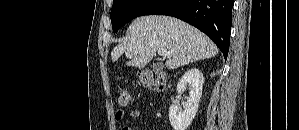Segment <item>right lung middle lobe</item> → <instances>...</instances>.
I'll return each mask as SVG.
<instances>
[{"label": "right lung middle lobe", "mask_w": 299, "mask_h": 130, "mask_svg": "<svg viewBox=\"0 0 299 130\" xmlns=\"http://www.w3.org/2000/svg\"><path fill=\"white\" fill-rule=\"evenodd\" d=\"M152 0H113L110 14L114 33L127 22L137 17Z\"/></svg>", "instance_id": "dd1d6c3e"}]
</instances>
